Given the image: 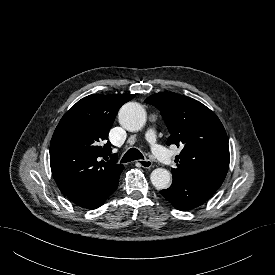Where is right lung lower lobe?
<instances>
[{
	"instance_id": "98d812e1",
	"label": "right lung lower lobe",
	"mask_w": 275,
	"mask_h": 275,
	"mask_svg": "<svg viewBox=\"0 0 275 275\" xmlns=\"http://www.w3.org/2000/svg\"><path fill=\"white\" fill-rule=\"evenodd\" d=\"M122 170L117 173L108 183L84 192L68 195L67 197L72 202L83 208L96 209L100 207L105 202V200L117 189L119 176Z\"/></svg>"
}]
</instances>
